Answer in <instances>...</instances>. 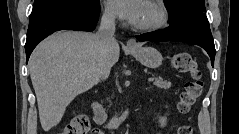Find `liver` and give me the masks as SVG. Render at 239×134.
<instances>
[{"instance_id":"liver-1","label":"liver","mask_w":239,"mask_h":134,"mask_svg":"<svg viewBox=\"0 0 239 134\" xmlns=\"http://www.w3.org/2000/svg\"><path fill=\"white\" fill-rule=\"evenodd\" d=\"M97 34L59 32L43 40L29 59L40 123L49 131L62 119L66 107L78 95L99 82L96 76ZM120 47L110 49L111 65L119 60Z\"/></svg>"}]
</instances>
